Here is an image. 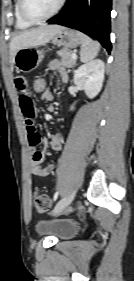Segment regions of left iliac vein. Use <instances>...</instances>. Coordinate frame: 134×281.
I'll use <instances>...</instances> for the list:
<instances>
[{
  "label": "left iliac vein",
  "mask_w": 134,
  "mask_h": 281,
  "mask_svg": "<svg viewBox=\"0 0 134 281\" xmlns=\"http://www.w3.org/2000/svg\"><path fill=\"white\" fill-rule=\"evenodd\" d=\"M76 195V190L71 191L68 195H66L63 199H61L53 211L51 212L52 216H57L59 215L74 199Z\"/></svg>",
  "instance_id": "left-iliac-vein-1"
}]
</instances>
